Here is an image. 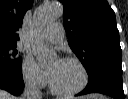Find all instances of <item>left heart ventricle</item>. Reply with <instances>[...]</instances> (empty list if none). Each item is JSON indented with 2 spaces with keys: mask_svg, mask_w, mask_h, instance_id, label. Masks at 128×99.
I'll return each instance as SVG.
<instances>
[{
  "mask_svg": "<svg viewBox=\"0 0 128 99\" xmlns=\"http://www.w3.org/2000/svg\"><path fill=\"white\" fill-rule=\"evenodd\" d=\"M48 70L53 83L60 90H73L82 83L83 75L76 63L54 60Z\"/></svg>",
  "mask_w": 128,
  "mask_h": 99,
  "instance_id": "1",
  "label": "left heart ventricle"
}]
</instances>
